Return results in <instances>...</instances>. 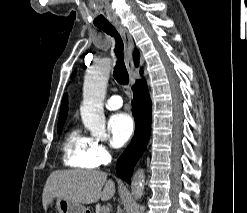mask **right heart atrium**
I'll list each match as a JSON object with an SVG mask.
<instances>
[{"instance_id":"1","label":"right heart atrium","mask_w":247,"mask_h":213,"mask_svg":"<svg viewBox=\"0 0 247 213\" xmlns=\"http://www.w3.org/2000/svg\"><path fill=\"white\" fill-rule=\"evenodd\" d=\"M90 155L96 167L107 165L112 158L108 146L98 140H92Z\"/></svg>"}]
</instances>
